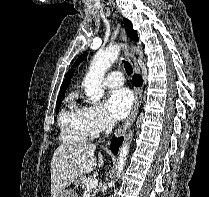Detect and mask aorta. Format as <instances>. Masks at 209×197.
Segmentation results:
<instances>
[{"mask_svg":"<svg viewBox=\"0 0 209 197\" xmlns=\"http://www.w3.org/2000/svg\"><path fill=\"white\" fill-rule=\"evenodd\" d=\"M120 50V45H110L104 51L96 53V55L93 57L89 71L83 81L85 93L89 101L92 103L98 102L103 97L104 89L102 87V81L105 72L115 62ZM137 51L139 50L137 49ZM131 136L132 134L127 136L126 141L119 150L117 177H120L124 169L129 153V142H127V140H129Z\"/></svg>","mask_w":209,"mask_h":197,"instance_id":"762f6f07","label":"aorta"}]
</instances>
